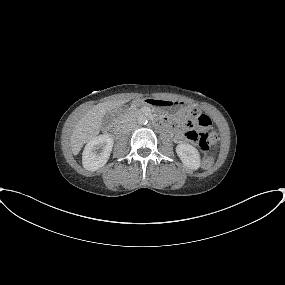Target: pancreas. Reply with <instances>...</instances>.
<instances>
[{
    "instance_id": "obj_1",
    "label": "pancreas",
    "mask_w": 285,
    "mask_h": 285,
    "mask_svg": "<svg viewBox=\"0 0 285 285\" xmlns=\"http://www.w3.org/2000/svg\"><path fill=\"white\" fill-rule=\"evenodd\" d=\"M132 112V110L131 109H129L128 110V113H131ZM123 119H124V117L123 116H121L120 118H119V121H123Z\"/></svg>"
}]
</instances>
